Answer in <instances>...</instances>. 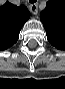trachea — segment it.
I'll return each mask as SVG.
<instances>
[{
    "label": "trachea",
    "instance_id": "3493384b",
    "mask_svg": "<svg viewBox=\"0 0 65 89\" xmlns=\"http://www.w3.org/2000/svg\"><path fill=\"white\" fill-rule=\"evenodd\" d=\"M29 2H30L31 4H33V3L36 2V0H29Z\"/></svg>",
    "mask_w": 65,
    "mask_h": 89
}]
</instances>
